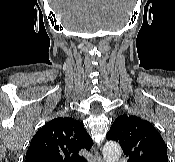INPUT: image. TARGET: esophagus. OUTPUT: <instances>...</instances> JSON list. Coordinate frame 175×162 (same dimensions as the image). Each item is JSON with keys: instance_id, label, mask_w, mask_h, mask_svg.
Masks as SVG:
<instances>
[{"instance_id": "obj_1", "label": "esophagus", "mask_w": 175, "mask_h": 162, "mask_svg": "<svg viewBox=\"0 0 175 162\" xmlns=\"http://www.w3.org/2000/svg\"><path fill=\"white\" fill-rule=\"evenodd\" d=\"M94 162H103V159L98 151H95Z\"/></svg>"}]
</instances>
